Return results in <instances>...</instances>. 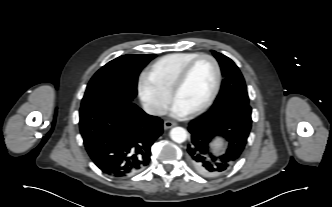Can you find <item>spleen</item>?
<instances>
[{
	"label": "spleen",
	"instance_id": "3e777b00",
	"mask_svg": "<svg viewBox=\"0 0 332 207\" xmlns=\"http://www.w3.org/2000/svg\"><path fill=\"white\" fill-rule=\"evenodd\" d=\"M220 147H221V142H216L213 144V148L215 151H218Z\"/></svg>",
	"mask_w": 332,
	"mask_h": 207
}]
</instances>
